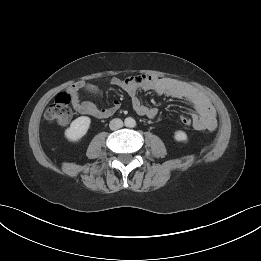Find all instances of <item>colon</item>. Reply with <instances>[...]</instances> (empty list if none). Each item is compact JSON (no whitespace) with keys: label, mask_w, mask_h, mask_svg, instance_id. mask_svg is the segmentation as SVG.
<instances>
[{"label":"colon","mask_w":261,"mask_h":261,"mask_svg":"<svg viewBox=\"0 0 261 261\" xmlns=\"http://www.w3.org/2000/svg\"><path fill=\"white\" fill-rule=\"evenodd\" d=\"M70 102L71 97L68 93H59L54 102L47 108L45 112L46 119L61 125L67 124L72 117ZM181 122L186 126L192 125V119L187 116H182Z\"/></svg>","instance_id":"obj_1"}]
</instances>
